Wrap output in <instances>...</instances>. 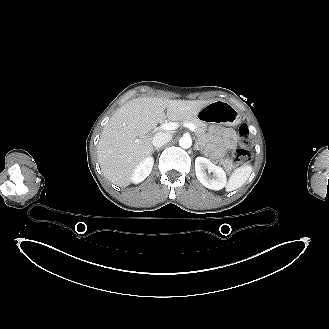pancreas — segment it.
I'll use <instances>...</instances> for the list:
<instances>
[{"label": "pancreas", "mask_w": 329, "mask_h": 329, "mask_svg": "<svg viewBox=\"0 0 329 329\" xmlns=\"http://www.w3.org/2000/svg\"><path fill=\"white\" fill-rule=\"evenodd\" d=\"M182 122L193 124L196 127V132L198 135H204L206 132L207 125L196 118L184 119ZM220 164H222L227 171H230L233 168L232 161L228 158L220 160Z\"/></svg>", "instance_id": "1"}]
</instances>
